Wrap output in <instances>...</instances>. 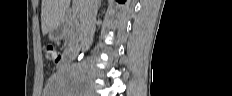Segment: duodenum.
Instances as JSON below:
<instances>
[{
  "label": "duodenum",
  "instance_id": "duodenum-1",
  "mask_svg": "<svg viewBox=\"0 0 232 96\" xmlns=\"http://www.w3.org/2000/svg\"><path fill=\"white\" fill-rule=\"evenodd\" d=\"M75 59V52L74 51H68L65 53V60L67 62L74 61Z\"/></svg>",
  "mask_w": 232,
  "mask_h": 96
}]
</instances>
